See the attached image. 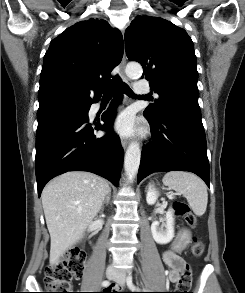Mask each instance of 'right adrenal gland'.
<instances>
[{
    "instance_id": "obj_1",
    "label": "right adrenal gland",
    "mask_w": 245,
    "mask_h": 293,
    "mask_svg": "<svg viewBox=\"0 0 245 293\" xmlns=\"http://www.w3.org/2000/svg\"><path fill=\"white\" fill-rule=\"evenodd\" d=\"M110 196H111V189L109 190L105 200L103 201V206H102V209L104 208V204H108L109 201H110Z\"/></svg>"
}]
</instances>
